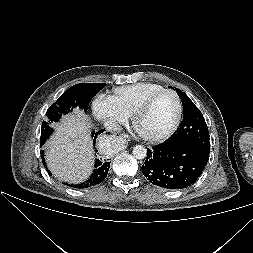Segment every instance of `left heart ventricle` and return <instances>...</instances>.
I'll use <instances>...</instances> for the list:
<instances>
[{
    "label": "left heart ventricle",
    "instance_id": "left-heart-ventricle-1",
    "mask_svg": "<svg viewBox=\"0 0 253 253\" xmlns=\"http://www.w3.org/2000/svg\"><path fill=\"white\" fill-rule=\"evenodd\" d=\"M176 113L177 106L174 96L165 93L157 98L149 110L141 116L137 129L145 135H160L171 126Z\"/></svg>",
    "mask_w": 253,
    "mask_h": 253
}]
</instances>
